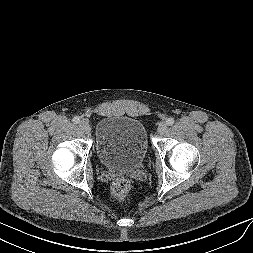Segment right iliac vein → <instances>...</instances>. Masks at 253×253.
<instances>
[{"mask_svg": "<svg viewBox=\"0 0 253 253\" xmlns=\"http://www.w3.org/2000/svg\"><path fill=\"white\" fill-rule=\"evenodd\" d=\"M79 128L83 133H86V134L89 133L91 130L90 124L85 120H82L79 122Z\"/></svg>", "mask_w": 253, "mask_h": 253, "instance_id": "right-iliac-vein-1", "label": "right iliac vein"}]
</instances>
